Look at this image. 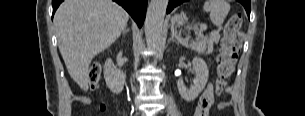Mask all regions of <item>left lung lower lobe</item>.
I'll return each mask as SVG.
<instances>
[{
    "mask_svg": "<svg viewBox=\"0 0 305 116\" xmlns=\"http://www.w3.org/2000/svg\"><path fill=\"white\" fill-rule=\"evenodd\" d=\"M187 0H170L168 7H167V13H169L173 8H175L176 6L180 5L183 2H186ZM239 2H241L243 4V6L245 7L247 14L250 15V0H240Z\"/></svg>",
    "mask_w": 305,
    "mask_h": 116,
    "instance_id": "1",
    "label": "left lung lower lobe"
}]
</instances>
